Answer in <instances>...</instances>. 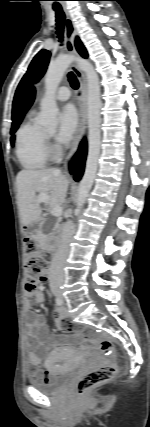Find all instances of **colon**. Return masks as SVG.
I'll return each mask as SVG.
<instances>
[{
    "instance_id": "1",
    "label": "colon",
    "mask_w": 150,
    "mask_h": 427,
    "mask_svg": "<svg viewBox=\"0 0 150 427\" xmlns=\"http://www.w3.org/2000/svg\"><path fill=\"white\" fill-rule=\"evenodd\" d=\"M26 253V290L34 293L47 280V263L39 250L35 240L26 237L24 239ZM99 349L108 356L112 362L106 366L88 372L83 375L76 384V392L79 396L88 394L92 389L111 380L117 373V365L114 362L115 349L112 343L106 339H93Z\"/></svg>"
}]
</instances>
